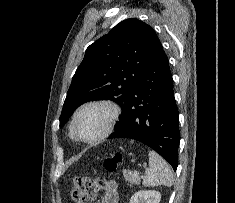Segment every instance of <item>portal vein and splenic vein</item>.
I'll return each mask as SVG.
<instances>
[{
    "label": "portal vein and splenic vein",
    "instance_id": "portal-vein-and-splenic-vein-1",
    "mask_svg": "<svg viewBox=\"0 0 235 203\" xmlns=\"http://www.w3.org/2000/svg\"><path fill=\"white\" fill-rule=\"evenodd\" d=\"M135 176L138 177V176H139V173H138V172H135Z\"/></svg>",
    "mask_w": 235,
    "mask_h": 203
}]
</instances>
